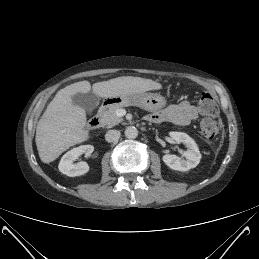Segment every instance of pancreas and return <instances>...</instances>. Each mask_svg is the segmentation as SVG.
Listing matches in <instances>:
<instances>
[{
	"label": "pancreas",
	"mask_w": 259,
	"mask_h": 259,
	"mask_svg": "<svg viewBox=\"0 0 259 259\" xmlns=\"http://www.w3.org/2000/svg\"><path fill=\"white\" fill-rule=\"evenodd\" d=\"M123 106H111L108 110L101 111L99 113L100 122L102 126H106L107 128H111L118 123L123 121V118L118 117L116 115V111Z\"/></svg>",
	"instance_id": "cf45deb5"
}]
</instances>
